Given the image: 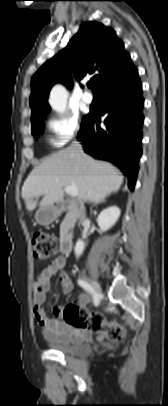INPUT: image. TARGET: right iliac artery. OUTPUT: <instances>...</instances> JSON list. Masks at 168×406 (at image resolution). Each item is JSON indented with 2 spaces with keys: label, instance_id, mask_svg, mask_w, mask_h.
I'll use <instances>...</instances> for the list:
<instances>
[{
  "label": "right iliac artery",
  "instance_id": "82829eb1",
  "mask_svg": "<svg viewBox=\"0 0 168 406\" xmlns=\"http://www.w3.org/2000/svg\"><path fill=\"white\" fill-rule=\"evenodd\" d=\"M78 285L81 286L84 290H86L87 292H89L90 294H92L93 298H94V303H96L97 300V295L94 292L93 288L91 287V285L82 279H78Z\"/></svg>",
  "mask_w": 168,
  "mask_h": 406
}]
</instances>
